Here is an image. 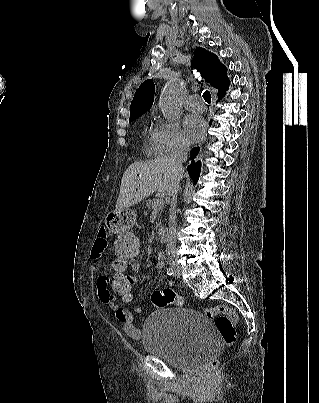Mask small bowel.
<instances>
[{
    "label": "small bowel",
    "instance_id": "c3829d8e",
    "mask_svg": "<svg viewBox=\"0 0 319 403\" xmlns=\"http://www.w3.org/2000/svg\"><path fill=\"white\" fill-rule=\"evenodd\" d=\"M108 248V232L105 228H100L98 231L97 238L92 247L90 258L95 261H99L103 258L106 250ZM139 254H136V256ZM164 266V254H160L156 267L162 269ZM134 273L132 275V281L135 284L138 268H129ZM111 276H100L97 280V289L101 301L115 312L116 320L122 325L123 331L127 337L133 341H139L142 338V332L134 324V315L140 313V308L135 307L132 310L124 307V304H120L115 296V291H113V285L109 283L111 281ZM169 287L174 285L173 281L167 283Z\"/></svg>",
    "mask_w": 319,
    "mask_h": 403
}]
</instances>
